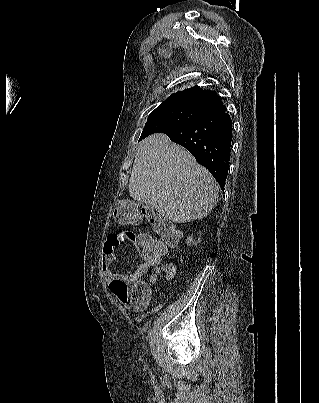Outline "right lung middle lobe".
Returning <instances> with one entry per match:
<instances>
[{"label":"right lung middle lobe","mask_w":319,"mask_h":403,"mask_svg":"<svg viewBox=\"0 0 319 403\" xmlns=\"http://www.w3.org/2000/svg\"><path fill=\"white\" fill-rule=\"evenodd\" d=\"M212 114L209 108L190 102H174L159 105L149 116L140 140L161 129L186 125Z\"/></svg>","instance_id":"1"}]
</instances>
